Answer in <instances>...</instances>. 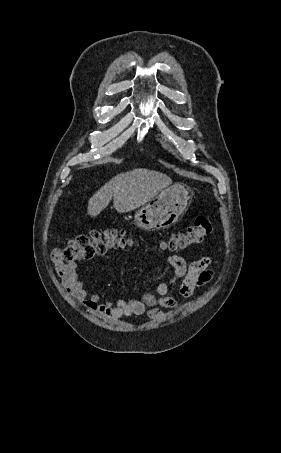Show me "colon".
Wrapping results in <instances>:
<instances>
[{"label":"colon","instance_id":"obj_1","mask_svg":"<svg viewBox=\"0 0 281 453\" xmlns=\"http://www.w3.org/2000/svg\"><path fill=\"white\" fill-rule=\"evenodd\" d=\"M212 221L207 216H200L186 230H171L166 233L165 249L171 252H184L190 247L199 245L212 230ZM135 231L131 226L94 227L88 233L72 237L63 251L66 262H83L94 257L104 256L110 249V236H125ZM159 253V248H154Z\"/></svg>","mask_w":281,"mask_h":453}]
</instances>
